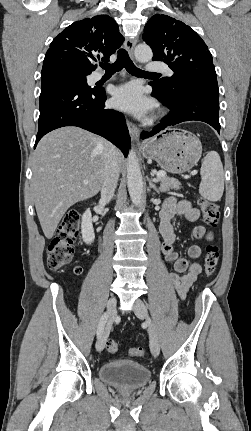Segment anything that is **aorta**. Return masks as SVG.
<instances>
[{
  "label": "aorta",
  "mask_w": 251,
  "mask_h": 431,
  "mask_svg": "<svg viewBox=\"0 0 251 431\" xmlns=\"http://www.w3.org/2000/svg\"><path fill=\"white\" fill-rule=\"evenodd\" d=\"M153 53L149 46L138 45L135 48V57L140 62H146L152 59ZM127 187L132 203L135 206L140 205L143 194V180L136 153L133 149L129 151L127 162Z\"/></svg>",
  "instance_id": "obj_1"
}]
</instances>
